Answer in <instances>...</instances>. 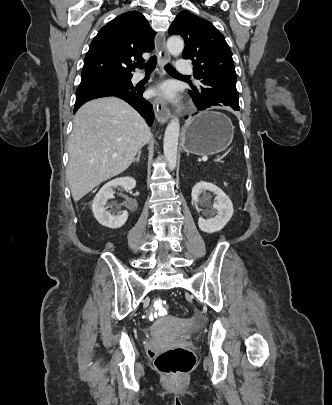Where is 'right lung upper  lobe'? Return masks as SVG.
<instances>
[{
  "instance_id": "cb5924a9",
  "label": "right lung upper lobe",
  "mask_w": 332,
  "mask_h": 405,
  "mask_svg": "<svg viewBox=\"0 0 332 405\" xmlns=\"http://www.w3.org/2000/svg\"><path fill=\"white\" fill-rule=\"evenodd\" d=\"M155 31L138 11L123 13L100 29L84 59L82 76L132 77V59L154 48Z\"/></svg>"
}]
</instances>
